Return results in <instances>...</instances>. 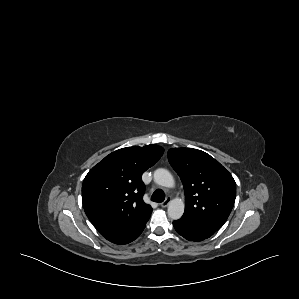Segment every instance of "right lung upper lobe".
<instances>
[{"label":"right lung upper lobe","instance_id":"cb5924a9","mask_svg":"<svg viewBox=\"0 0 299 299\" xmlns=\"http://www.w3.org/2000/svg\"><path fill=\"white\" fill-rule=\"evenodd\" d=\"M157 145L116 150L95 165L82 185L85 213L103 237L144 226L152 208L142 200V174L162 156Z\"/></svg>","mask_w":299,"mask_h":299}]
</instances>
